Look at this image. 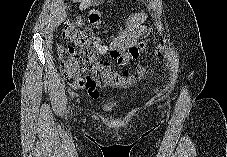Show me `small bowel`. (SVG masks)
I'll list each match as a JSON object with an SVG mask.
<instances>
[{"label": "small bowel", "mask_w": 227, "mask_h": 157, "mask_svg": "<svg viewBox=\"0 0 227 157\" xmlns=\"http://www.w3.org/2000/svg\"><path fill=\"white\" fill-rule=\"evenodd\" d=\"M146 17L145 13H137L130 16L125 31L117 36L110 45L100 44L98 53L102 55L109 53L111 57L117 59L120 63L124 61L127 51L131 54V58H140V53H138V51H141V46L132 45L143 33H145L146 27L144 21ZM75 88L86 89L92 98H97L99 95L96 85L86 83L85 80Z\"/></svg>", "instance_id": "small-bowel-1"}]
</instances>
